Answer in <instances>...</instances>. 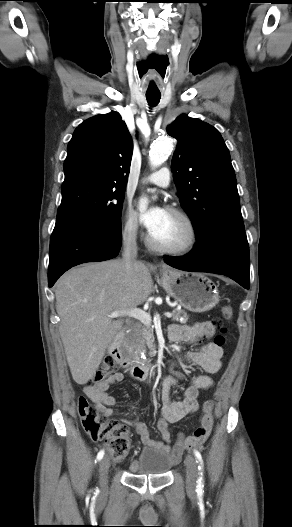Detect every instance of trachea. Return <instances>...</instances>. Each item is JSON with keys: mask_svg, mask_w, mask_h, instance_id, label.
Returning <instances> with one entry per match:
<instances>
[{"mask_svg": "<svg viewBox=\"0 0 292 527\" xmlns=\"http://www.w3.org/2000/svg\"><path fill=\"white\" fill-rule=\"evenodd\" d=\"M161 98L160 94H146V99L150 106H155L159 103Z\"/></svg>", "mask_w": 292, "mask_h": 527, "instance_id": "trachea-1", "label": "trachea"}]
</instances>
